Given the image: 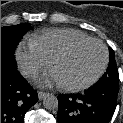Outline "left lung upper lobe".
Here are the masks:
<instances>
[{
	"label": "left lung upper lobe",
	"instance_id": "1",
	"mask_svg": "<svg viewBox=\"0 0 123 123\" xmlns=\"http://www.w3.org/2000/svg\"><path fill=\"white\" fill-rule=\"evenodd\" d=\"M110 62L105 74L100 78L96 85H109L113 87H119L118 70L115 63V54L113 49L109 48Z\"/></svg>",
	"mask_w": 123,
	"mask_h": 123
}]
</instances>
